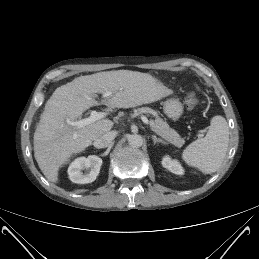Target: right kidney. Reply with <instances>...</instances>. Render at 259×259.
I'll list each match as a JSON object with an SVG mask.
<instances>
[{
	"label": "right kidney",
	"mask_w": 259,
	"mask_h": 259,
	"mask_svg": "<svg viewBox=\"0 0 259 259\" xmlns=\"http://www.w3.org/2000/svg\"><path fill=\"white\" fill-rule=\"evenodd\" d=\"M102 159L96 155L86 157H79L75 159L68 168L69 179L78 184H87L96 180L99 174ZM90 169L88 173L82 171Z\"/></svg>",
	"instance_id": "right-kidney-1"
}]
</instances>
